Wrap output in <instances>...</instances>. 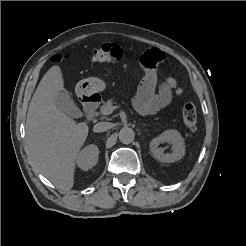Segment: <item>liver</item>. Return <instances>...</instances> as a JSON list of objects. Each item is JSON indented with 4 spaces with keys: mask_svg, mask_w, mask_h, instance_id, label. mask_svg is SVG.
Wrapping results in <instances>:
<instances>
[{
    "mask_svg": "<svg viewBox=\"0 0 246 246\" xmlns=\"http://www.w3.org/2000/svg\"><path fill=\"white\" fill-rule=\"evenodd\" d=\"M64 90L61 68L52 66L41 79L28 107L26 151L34 167L57 188L68 191L74 185L76 159L89 127L76 122L55 103Z\"/></svg>",
    "mask_w": 246,
    "mask_h": 246,
    "instance_id": "obj_1",
    "label": "liver"
}]
</instances>
